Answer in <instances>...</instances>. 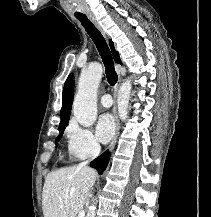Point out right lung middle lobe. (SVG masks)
Listing matches in <instances>:
<instances>
[{"label":"right lung middle lobe","instance_id":"1","mask_svg":"<svg viewBox=\"0 0 211 217\" xmlns=\"http://www.w3.org/2000/svg\"><path fill=\"white\" fill-rule=\"evenodd\" d=\"M64 129H65V127L59 129V135H58L56 141H58V140L61 138V136H62V134H63V132H64ZM56 144H57V143H56Z\"/></svg>","mask_w":211,"mask_h":217}]
</instances>
